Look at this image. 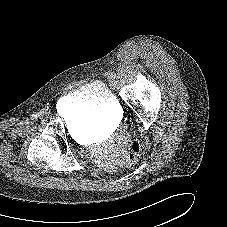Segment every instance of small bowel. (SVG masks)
Masks as SVG:
<instances>
[{
    "mask_svg": "<svg viewBox=\"0 0 227 227\" xmlns=\"http://www.w3.org/2000/svg\"><path fill=\"white\" fill-rule=\"evenodd\" d=\"M117 154H118V152L116 150H112V152L109 155H106L102 159L103 163H105L106 165L112 164L115 161V159L117 158Z\"/></svg>",
    "mask_w": 227,
    "mask_h": 227,
    "instance_id": "small-bowel-1",
    "label": "small bowel"
}]
</instances>
